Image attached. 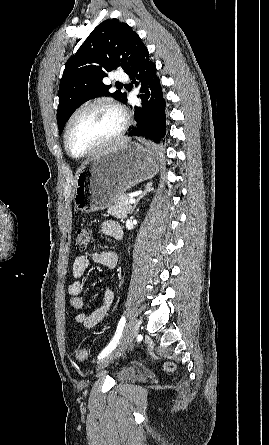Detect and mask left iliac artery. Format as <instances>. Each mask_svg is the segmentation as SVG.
Here are the masks:
<instances>
[{
    "label": "left iliac artery",
    "mask_w": 269,
    "mask_h": 445,
    "mask_svg": "<svg viewBox=\"0 0 269 445\" xmlns=\"http://www.w3.org/2000/svg\"><path fill=\"white\" fill-rule=\"evenodd\" d=\"M125 321H126L125 317L123 316L118 323V327H117V330H116V333H115L113 339L108 344V346L105 347V349H103V351L99 354L98 359L104 358L105 356H107L109 353H111L114 350V348L116 347V345L119 342V339L122 335V332H123V329L125 326Z\"/></svg>",
    "instance_id": "obj_1"
}]
</instances>
